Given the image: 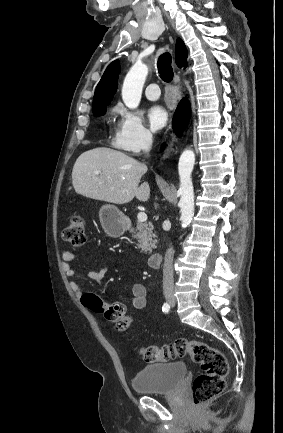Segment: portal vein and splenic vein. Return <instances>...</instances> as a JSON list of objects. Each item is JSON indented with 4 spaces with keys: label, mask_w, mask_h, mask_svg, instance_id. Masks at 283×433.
<instances>
[{
    "label": "portal vein and splenic vein",
    "mask_w": 283,
    "mask_h": 433,
    "mask_svg": "<svg viewBox=\"0 0 283 433\" xmlns=\"http://www.w3.org/2000/svg\"><path fill=\"white\" fill-rule=\"evenodd\" d=\"M95 174H100L99 170H95ZM137 219L140 221V223H145V221H147L146 212H138Z\"/></svg>",
    "instance_id": "1"
}]
</instances>
